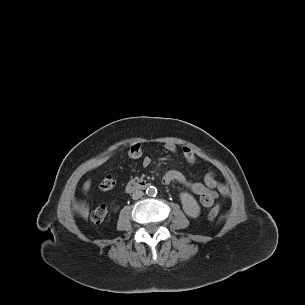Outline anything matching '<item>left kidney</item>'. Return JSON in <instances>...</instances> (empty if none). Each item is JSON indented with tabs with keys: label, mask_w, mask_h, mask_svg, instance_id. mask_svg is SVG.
<instances>
[{
	"label": "left kidney",
	"mask_w": 305,
	"mask_h": 305,
	"mask_svg": "<svg viewBox=\"0 0 305 305\" xmlns=\"http://www.w3.org/2000/svg\"><path fill=\"white\" fill-rule=\"evenodd\" d=\"M179 197L185 214L188 217L197 218L200 215V206L196 199L188 192H181Z\"/></svg>",
	"instance_id": "1"
}]
</instances>
